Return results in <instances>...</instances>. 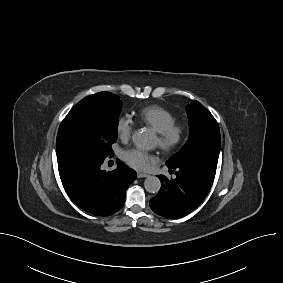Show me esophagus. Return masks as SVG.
<instances>
[{"mask_svg":"<svg viewBox=\"0 0 283 283\" xmlns=\"http://www.w3.org/2000/svg\"><path fill=\"white\" fill-rule=\"evenodd\" d=\"M137 177H138V178H145V177H148V174H145V173H137Z\"/></svg>","mask_w":283,"mask_h":283,"instance_id":"34e87169","label":"esophagus"}]
</instances>
